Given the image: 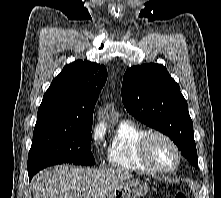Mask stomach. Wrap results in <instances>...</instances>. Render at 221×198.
I'll list each match as a JSON object with an SVG mask.
<instances>
[{
  "label": "stomach",
  "instance_id": "1",
  "mask_svg": "<svg viewBox=\"0 0 221 198\" xmlns=\"http://www.w3.org/2000/svg\"><path fill=\"white\" fill-rule=\"evenodd\" d=\"M148 193L147 183L140 180H127L122 182L105 198H141Z\"/></svg>",
  "mask_w": 221,
  "mask_h": 198
}]
</instances>
